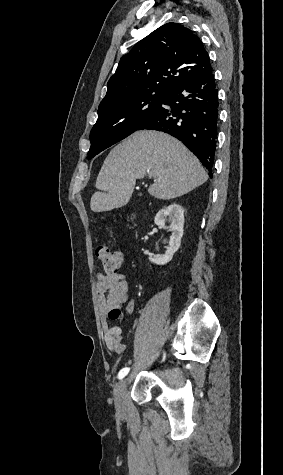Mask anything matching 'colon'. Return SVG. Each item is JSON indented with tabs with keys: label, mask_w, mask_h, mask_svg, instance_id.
Masks as SVG:
<instances>
[{
	"label": "colon",
	"mask_w": 283,
	"mask_h": 475,
	"mask_svg": "<svg viewBox=\"0 0 283 475\" xmlns=\"http://www.w3.org/2000/svg\"><path fill=\"white\" fill-rule=\"evenodd\" d=\"M97 257L107 272L117 273L120 271L123 264V256L120 252L106 246H100L97 251Z\"/></svg>",
	"instance_id": "5ec220e1"
}]
</instances>
